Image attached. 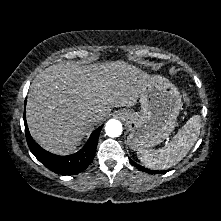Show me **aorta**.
Returning a JSON list of instances; mask_svg holds the SVG:
<instances>
[{
	"label": "aorta",
	"mask_w": 221,
	"mask_h": 221,
	"mask_svg": "<svg viewBox=\"0 0 221 221\" xmlns=\"http://www.w3.org/2000/svg\"><path fill=\"white\" fill-rule=\"evenodd\" d=\"M122 131V124L116 119L109 120L105 125V132L109 137H118Z\"/></svg>",
	"instance_id": "762f6f07"
}]
</instances>
